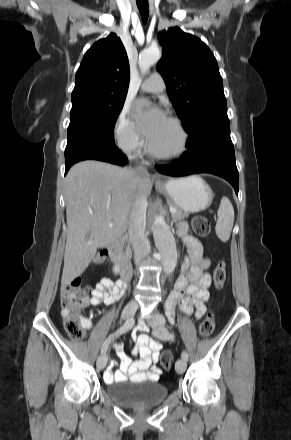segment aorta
I'll return each mask as SVG.
<instances>
[{"instance_id": "obj_1", "label": "aorta", "mask_w": 291, "mask_h": 440, "mask_svg": "<svg viewBox=\"0 0 291 440\" xmlns=\"http://www.w3.org/2000/svg\"><path fill=\"white\" fill-rule=\"evenodd\" d=\"M161 51L158 47H149L139 54L138 66L142 75H145L150 67L156 64L161 58ZM152 232L155 245L162 256L164 271L171 273L176 265V242L175 238L163 220H155L152 225Z\"/></svg>"}]
</instances>
